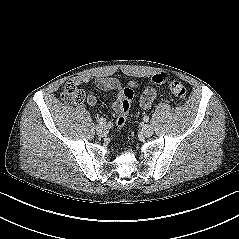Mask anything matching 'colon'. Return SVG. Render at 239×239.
<instances>
[{"instance_id":"5ec220e1","label":"colon","mask_w":239,"mask_h":239,"mask_svg":"<svg viewBox=\"0 0 239 239\" xmlns=\"http://www.w3.org/2000/svg\"><path fill=\"white\" fill-rule=\"evenodd\" d=\"M152 82L155 84L169 83L171 92L180 99H186L187 90L184 85L176 78L170 76L167 72H158L152 76ZM134 98L132 87L128 86L123 89V99L121 108L116 118V126L118 129H123L127 121V115ZM62 99L68 103L81 104L84 102V92L79 86L73 82L65 83L62 91Z\"/></svg>"}]
</instances>
